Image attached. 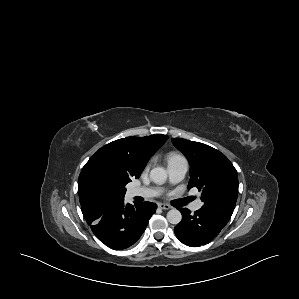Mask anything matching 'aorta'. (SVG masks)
<instances>
[{
	"mask_svg": "<svg viewBox=\"0 0 299 299\" xmlns=\"http://www.w3.org/2000/svg\"><path fill=\"white\" fill-rule=\"evenodd\" d=\"M150 179L157 184H163L167 179V171L162 167H155L150 171ZM167 220L175 225L180 223L182 220L181 212L177 209H171L167 213Z\"/></svg>",
	"mask_w": 299,
	"mask_h": 299,
	"instance_id": "aorta-1",
	"label": "aorta"
}]
</instances>
